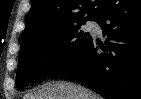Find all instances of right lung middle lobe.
I'll return each instance as SVG.
<instances>
[{
    "instance_id": "dd1d6c3e",
    "label": "right lung middle lobe",
    "mask_w": 141,
    "mask_h": 99,
    "mask_svg": "<svg viewBox=\"0 0 141 99\" xmlns=\"http://www.w3.org/2000/svg\"><path fill=\"white\" fill-rule=\"evenodd\" d=\"M85 22L61 29L21 45L16 86L23 89L28 83L56 73L68 66L79 51L92 39L88 33L78 32ZM56 55L51 53L61 46Z\"/></svg>"
}]
</instances>
